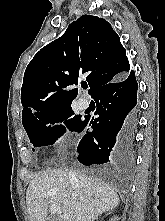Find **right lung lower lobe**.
I'll return each mask as SVG.
<instances>
[{
    "instance_id": "right-lung-lower-lobe-1",
    "label": "right lung lower lobe",
    "mask_w": 165,
    "mask_h": 221,
    "mask_svg": "<svg viewBox=\"0 0 165 221\" xmlns=\"http://www.w3.org/2000/svg\"><path fill=\"white\" fill-rule=\"evenodd\" d=\"M138 84L135 73L100 87L92 98L96 101L99 115L91 121L85 118L78 132L89 124L92 132L81 139L77 152L84 165L113 164L129 168L134 161V134Z\"/></svg>"
}]
</instances>
